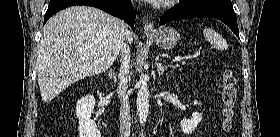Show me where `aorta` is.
Masks as SVG:
<instances>
[{"mask_svg": "<svg viewBox=\"0 0 280 137\" xmlns=\"http://www.w3.org/2000/svg\"><path fill=\"white\" fill-rule=\"evenodd\" d=\"M138 93H137V114L140 123H144L147 120L149 113V97L150 93L147 86V79L141 77L138 82Z\"/></svg>", "mask_w": 280, "mask_h": 137, "instance_id": "1", "label": "aorta"}]
</instances>
